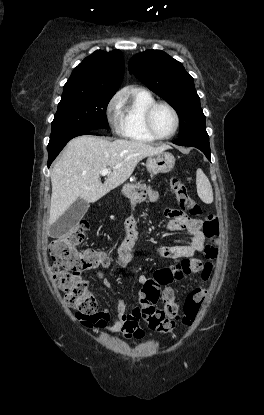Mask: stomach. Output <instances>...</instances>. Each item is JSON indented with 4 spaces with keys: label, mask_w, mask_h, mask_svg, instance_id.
Returning <instances> with one entry per match:
<instances>
[{
    "label": "stomach",
    "mask_w": 264,
    "mask_h": 415,
    "mask_svg": "<svg viewBox=\"0 0 264 415\" xmlns=\"http://www.w3.org/2000/svg\"><path fill=\"white\" fill-rule=\"evenodd\" d=\"M175 165V158L169 152H161L155 155L148 156L146 160L147 171L151 175H156L158 173H168L170 172ZM142 188V185L136 183H129L123 186L122 193L134 200L138 197V192Z\"/></svg>",
    "instance_id": "obj_1"
}]
</instances>
